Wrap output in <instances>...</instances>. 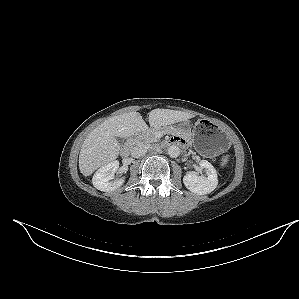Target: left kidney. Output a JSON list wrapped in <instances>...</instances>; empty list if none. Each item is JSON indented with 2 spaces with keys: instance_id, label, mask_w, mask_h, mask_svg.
Masks as SVG:
<instances>
[{
  "instance_id": "5707ae66",
  "label": "left kidney",
  "mask_w": 299,
  "mask_h": 299,
  "mask_svg": "<svg viewBox=\"0 0 299 299\" xmlns=\"http://www.w3.org/2000/svg\"><path fill=\"white\" fill-rule=\"evenodd\" d=\"M200 168L205 169L206 176H198L193 172H188L183 177V183L188 190L197 195L211 193L218 185L217 172L207 160H201Z\"/></svg>"
}]
</instances>
